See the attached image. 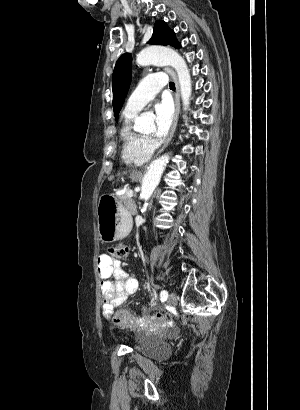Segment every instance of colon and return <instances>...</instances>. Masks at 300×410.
<instances>
[{
	"label": "colon",
	"mask_w": 300,
	"mask_h": 410,
	"mask_svg": "<svg viewBox=\"0 0 300 410\" xmlns=\"http://www.w3.org/2000/svg\"><path fill=\"white\" fill-rule=\"evenodd\" d=\"M108 252L110 256L116 259H122L125 258L128 254V247L123 244H117V245H112L109 249ZM166 319L165 316H160L158 315L157 317H151L152 321L160 322ZM113 322L116 326L121 327V328H130L134 327L137 324L141 322V319L138 317L132 315L131 313L127 311H117L114 316H113Z\"/></svg>",
	"instance_id": "1"
}]
</instances>
